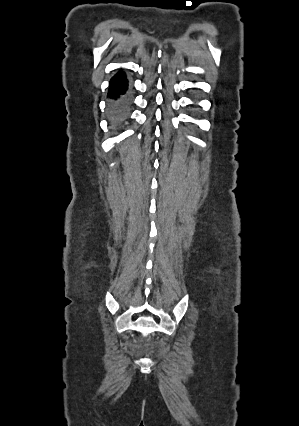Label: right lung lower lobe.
<instances>
[{"instance_id":"1","label":"right lung lower lobe","mask_w":299,"mask_h":426,"mask_svg":"<svg viewBox=\"0 0 299 426\" xmlns=\"http://www.w3.org/2000/svg\"><path fill=\"white\" fill-rule=\"evenodd\" d=\"M127 80L122 71H119L110 81L108 96L109 102V116L114 126H121L127 119L131 100L127 91Z\"/></svg>"}]
</instances>
